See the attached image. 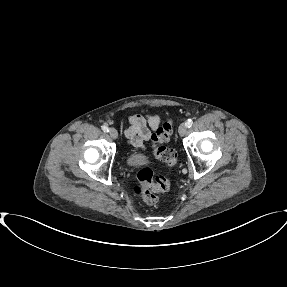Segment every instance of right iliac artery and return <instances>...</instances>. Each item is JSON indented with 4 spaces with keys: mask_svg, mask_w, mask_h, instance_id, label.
Listing matches in <instances>:
<instances>
[{
    "mask_svg": "<svg viewBox=\"0 0 287 287\" xmlns=\"http://www.w3.org/2000/svg\"><path fill=\"white\" fill-rule=\"evenodd\" d=\"M102 130H103L104 132H109V128H108V126H106V125H103V126H102Z\"/></svg>",
    "mask_w": 287,
    "mask_h": 287,
    "instance_id": "82829eb1",
    "label": "right iliac artery"
}]
</instances>
